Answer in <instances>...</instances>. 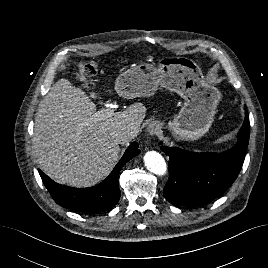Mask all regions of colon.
<instances>
[{
    "label": "colon",
    "mask_w": 268,
    "mask_h": 268,
    "mask_svg": "<svg viewBox=\"0 0 268 268\" xmlns=\"http://www.w3.org/2000/svg\"><path fill=\"white\" fill-rule=\"evenodd\" d=\"M98 64L95 61H82L78 64L76 79L83 85L90 86V78L96 73Z\"/></svg>",
    "instance_id": "colon-1"
}]
</instances>
